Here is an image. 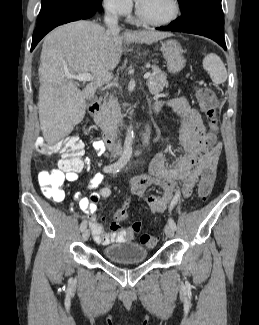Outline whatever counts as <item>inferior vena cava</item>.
I'll return each mask as SVG.
<instances>
[{
    "instance_id": "1",
    "label": "inferior vena cava",
    "mask_w": 259,
    "mask_h": 325,
    "mask_svg": "<svg viewBox=\"0 0 259 325\" xmlns=\"http://www.w3.org/2000/svg\"><path fill=\"white\" fill-rule=\"evenodd\" d=\"M104 22L108 30L115 31L118 30V15L113 7H108L105 11ZM120 145L117 146L119 148Z\"/></svg>"
}]
</instances>
